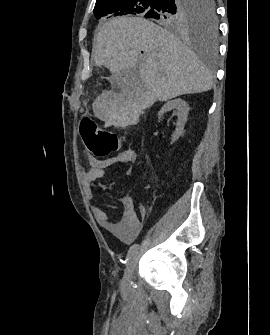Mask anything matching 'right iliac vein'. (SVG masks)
Returning <instances> with one entry per match:
<instances>
[{"mask_svg":"<svg viewBox=\"0 0 270 335\" xmlns=\"http://www.w3.org/2000/svg\"><path fill=\"white\" fill-rule=\"evenodd\" d=\"M137 256H138V252H136L129 260L123 279H122V287L126 288L129 283L130 280L132 278L133 272H134V268H135V264H136V260H137Z\"/></svg>","mask_w":270,"mask_h":335,"instance_id":"right-iliac-vein-1","label":"right iliac vein"}]
</instances>
